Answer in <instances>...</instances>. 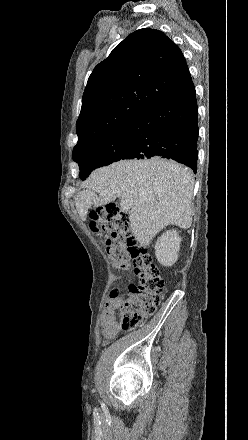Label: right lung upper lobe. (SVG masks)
Masks as SVG:
<instances>
[{"instance_id": "cb5924a9", "label": "right lung upper lobe", "mask_w": 248, "mask_h": 440, "mask_svg": "<svg viewBox=\"0 0 248 440\" xmlns=\"http://www.w3.org/2000/svg\"><path fill=\"white\" fill-rule=\"evenodd\" d=\"M192 88L179 47L159 30L135 31L90 75L74 149L126 126L152 105Z\"/></svg>"}]
</instances>
